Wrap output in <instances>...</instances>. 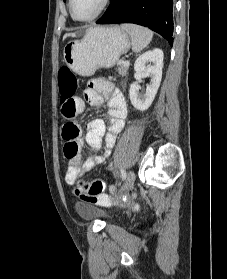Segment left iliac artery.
<instances>
[{
    "instance_id": "left-iliac-artery-1",
    "label": "left iliac artery",
    "mask_w": 227,
    "mask_h": 279,
    "mask_svg": "<svg viewBox=\"0 0 227 279\" xmlns=\"http://www.w3.org/2000/svg\"><path fill=\"white\" fill-rule=\"evenodd\" d=\"M121 176L123 180L126 179V171L124 169H121Z\"/></svg>"
}]
</instances>
